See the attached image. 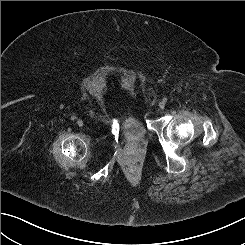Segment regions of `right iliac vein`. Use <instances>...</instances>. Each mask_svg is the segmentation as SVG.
Wrapping results in <instances>:
<instances>
[{"mask_svg":"<svg viewBox=\"0 0 245 245\" xmlns=\"http://www.w3.org/2000/svg\"><path fill=\"white\" fill-rule=\"evenodd\" d=\"M76 123H77V125L80 126V127L83 126V121L80 120V119H78Z\"/></svg>","mask_w":245,"mask_h":245,"instance_id":"1","label":"right iliac vein"}]
</instances>
